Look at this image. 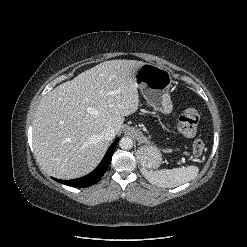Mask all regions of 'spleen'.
Wrapping results in <instances>:
<instances>
[{
    "label": "spleen",
    "mask_w": 247,
    "mask_h": 247,
    "mask_svg": "<svg viewBox=\"0 0 247 247\" xmlns=\"http://www.w3.org/2000/svg\"><path fill=\"white\" fill-rule=\"evenodd\" d=\"M199 173L197 166L144 171L147 180L159 187L172 188L193 180Z\"/></svg>",
    "instance_id": "spleen-1"
}]
</instances>
